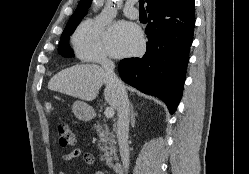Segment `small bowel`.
<instances>
[{"label":"small bowel","mask_w":249,"mask_h":174,"mask_svg":"<svg viewBox=\"0 0 249 174\" xmlns=\"http://www.w3.org/2000/svg\"><path fill=\"white\" fill-rule=\"evenodd\" d=\"M80 156H83V160L87 165L92 166L95 164V159L93 155L90 153L82 154V151L79 148L72 149L69 153L64 155L63 159L65 162H70ZM59 174H65V173L63 171H60ZM95 174H105V173L102 171H96Z\"/></svg>","instance_id":"c3829d8e"}]
</instances>
